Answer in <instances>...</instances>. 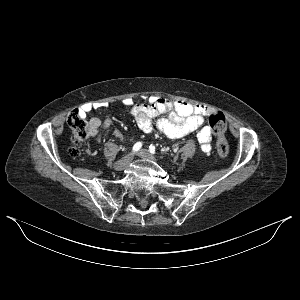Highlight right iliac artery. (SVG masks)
Wrapping results in <instances>:
<instances>
[{"label": "right iliac artery", "instance_id": "right-iliac-artery-1", "mask_svg": "<svg viewBox=\"0 0 300 300\" xmlns=\"http://www.w3.org/2000/svg\"><path fill=\"white\" fill-rule=\"evenodd\" d=\"M141 147H142V143H141V142H137V143L133 146L132 151L135 153V152L139 151Z\"/></svg>", "mask_w": 300, "mask_h": 300}]
</instances>
